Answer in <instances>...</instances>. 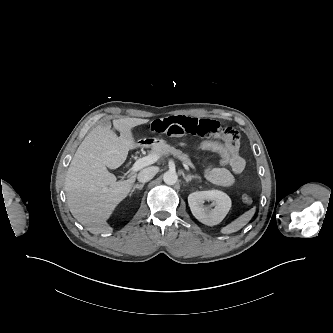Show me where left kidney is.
Listing matches in <instances>:
<instances>
[{"instance_id": "5707ae66", "label": "left kidney", "mask_w": 333, "mask_h": 333, "mask_svg": "<svg viewBox=\"0 0 333 333\" xmlns=\"http://www.w3.org/2000/svg\"><path fill=\"white\" fill-rule=\"evenodd\" d=\"M205 201H212L215 207L213 209L206 207ZM188 204L197 220L205 225L214 226L227 215L231 208V199L219 190L196 191L188 196Z\"/></svg>"}]
</instances>
